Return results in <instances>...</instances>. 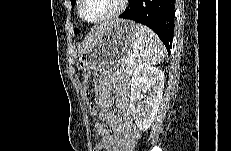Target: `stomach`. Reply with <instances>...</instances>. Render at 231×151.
<instances>
[{
	"mask_svg": "<svg viewBox=\"0 0 231 151\" xmlns=\"http://www.w3.org/2000/svg\"><path fill=\"white\" fill-rule=\"evenodd\" d=\"M135 24L130 20H116L107 26L100 39L81 54L77 67L83 73L102 71L121 62L135 50Z\"/></svg>",
	"mask_w": 231,
	"mask_h": 151,
	"instance_id": "0dacf381",
	"label": "stomach"
}]
</instances>
